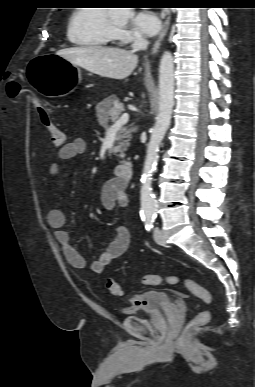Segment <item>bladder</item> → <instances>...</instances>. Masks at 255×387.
I'll list each match as a JSON object with an SVG mask.
<instances>
[{
  "label": "bladder",
  "mask_w": 255,
  "mask_h": 387,
  "mask_svg": "<svg viewBox=\"0 0 255 387\" xmlns=\"http://www.w3.org/2000/svg\"><path fill=\"white\" fill-rule=\"evenodd\" d=\"M138 303H132L123 310L125 315L158 314L165 309L173 308L171 296L163 291H147L139 295Z\"/></svg>",
  "instance_id": "1"
}]
</instances>
